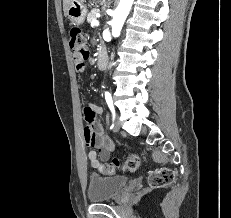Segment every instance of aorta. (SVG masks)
<instances>
[{
	"label": "aorta",
	"instance_id": "obj_1",
	"mask_svg": "<svg viewBox=\"0 0 231 218\" xmlns=\"http://www.w3.org/2000/svg\"><path fill=\"white\" fill-rule=\"evenodd\" d=\"M134 0H120V3L115 11L112 25V36L118 37L120 35L123 24L130 12Z\"/></svg>",
	"mask_w": 231,
	"mask_h": 218
}]
</instances>
